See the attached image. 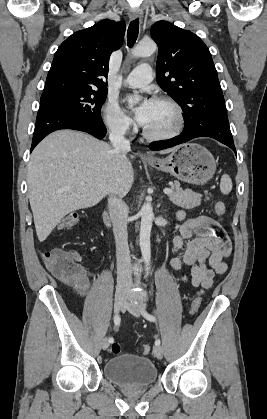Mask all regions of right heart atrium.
I'll return each instance as SVG.
<instances>
[{
  "instance_id": "right-heart-atrium-1",
  "label": "right heart atrium",
  "mask_w": 267,
  "mask_h": 419,
  "mask_svg": "<svg viewBox=\"0 0 267 419\" xmlns=\"http://www.w3.org/2000/svg\"><path fill=\"white\" fill-rule=\"evenodd\" d=\"M103 120L106 127L117 135L127 134L133 126L132 119L113 99H109L103 108Z\"/></svg>"
}]
</instances>
